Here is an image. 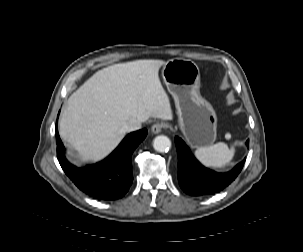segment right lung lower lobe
<instances>
[{
	"label": "right lung lower lobe",
	"mask_w": 303,
	"mask_h": 252,
	"mask_svg": "<svg viewBox=\"0 0 303 252\" xmlns=\"http://www.w3.org/2000/svg\"><path fill=\"white\" fill-rule=\"evenodd\" d=\"M146 136V129L132 132L106 159L78 168L65 158L56 123L57 158L67 176L84 193L96 199L115 200L123 197L132 184L131 155Z\"/></svg>",
	"instance_id": "98d812e1"
}]
</instances>
